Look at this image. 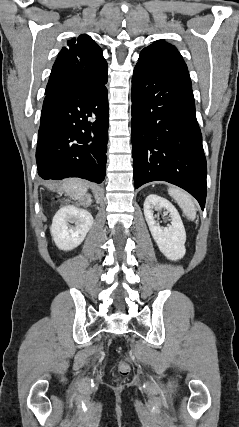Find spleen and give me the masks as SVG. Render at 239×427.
Wrapping results in <instances>:
<instances>
[{"instance_id":"spleen-1","label":"spleen","mask_w":239,"mask_h":427,"mask_svg":"<svg viewBox=\"0 0 239 427\" xmlns=\"http://www.w3.org/2000/svg\"><path fill=\"white\" fill-rule=\"evenodd\" d=\"M168 193L178 203L179 207L188 219L194 220L196 218V207L188 194L178 188H169Z\"/></svg>"}]
</instances>
